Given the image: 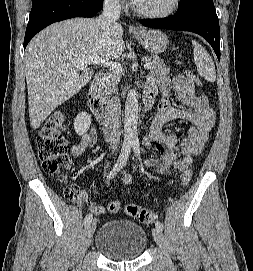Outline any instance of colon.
<instances>
[{"label":"colon","mask_w":253,"mask_h":271,"mask_svg":"<svg viewBox=\"0 0 253 271\" xmlns=\"http://www.w3.org/2000/svg\"><path fill=\"white\" fill-rule=\"evenodd\" d=\"M65 123V113L55 112L42 126L36 139L44 172L58 177L63 176L71 166V158L67 152V140L63 134ZM190 180L191 172L186 171L181 175L180 183L182 186H187ZM65 196L71 201H76L80 196V190L76 185L69 184L65 187ZM120 207L121 203L114 200L109 203L108 210L116 213ZM124 211L141 223L151 224L155 220V213L152 210L137 204L125 205Z\"/></svg>","instance_id":"1"}]
</instances>
